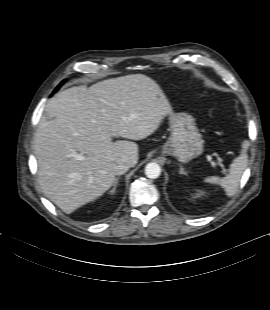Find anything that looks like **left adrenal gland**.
Instances as JSON below:
<instances>
[{
    "mask_svg": "<svg viewBox=\"0 0 270 310\" xmlns=\"http://www.w3.org/2000/svg\"><path fill=\"white\" fill-rule=\"evenodd\" d=\"M179 167H180L179 173L187 175V172L185 171V169L181 165H179Z\"/></svg>",
    "mask_w": 270,
    "mask_h": 310,
    "instance_id": "obj_1",
    "label": "left adrenal gland"
}]
</instances>
